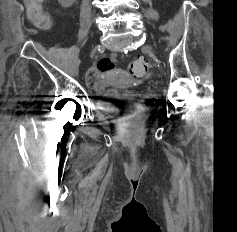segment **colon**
Masks as SVG:
<instances>
[{"label":"colon","mask_w":237,"mask_h":232,"mask_svg":"<svg viewBox=\"0 0 237 232\" xmlns=\"http://www.w3.org/2000/svg\"><path fill=\"white\" fill-rule=\"evenodd\" d=\"M24 2L29 22L39 29H48L51 25V18L43 9V0H24ZM115 67L114 61L108 58H102L97 63V70L101 73L113 71ZM148 71L149 64L143 58H137L129 65V72L136 79L144 78Z\"/></svg>","instance_id":"1"}]
</instances>
